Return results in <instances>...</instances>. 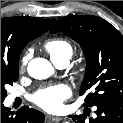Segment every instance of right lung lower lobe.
Here are the masks:
<instances>
[{"mask_svg": "<svg viewBox=\"0 0 123 123\" xmlns=\"http://www.w3.org/2000/svg\"><path fill=\"white\" fill-rule=\"evenodd\" d=\"M44 114L38 110L23 106L16 112L11 111L1 101V123H43Z\"/></svg>", "mask_w": 123, "mask_h": 123, "instance_id": "1", "label": "right lung lower lobe"}]
</instances>
